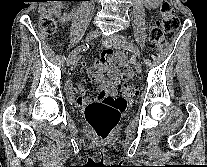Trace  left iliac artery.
Here are the masks:
<instances>
[{
    "mask_svg": "<svg viewBox=\"0 0 207 167\" xmlns=\"http://www.w3.org/2000/svg\"><path fill=\"white\" fill-rule=\"evenodd\" d=\"M126 48L129 50V51H132L135 53L136 56H138V58L140 59V52H139V49L136 45H134L133 43H129L126 45Z\"/></svg>",
    "mask_w": 207,
    "mask_h": 167,
    "instance_id": "1",
    "label": "left iliac artery"
}]
</instances>
